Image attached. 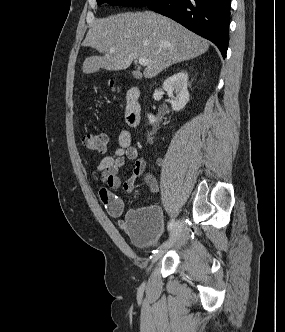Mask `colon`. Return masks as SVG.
<instances>
[{
  "instance_id": "1",
  "label": "colon",
  "mask_w": 285,
  "mask_h": 332,
  "mask_svg": "<svg viewBox=\"0 0 285 332\" xmlns=\"http://www.w3.org/2000/svg\"><path fill=\"white\" fill-rule=\"evenodd\" d=\"M86 148L95 152H104L108 143V135L103 132L86 133L82 138Z\"/></svg>"
}]
</instances>
